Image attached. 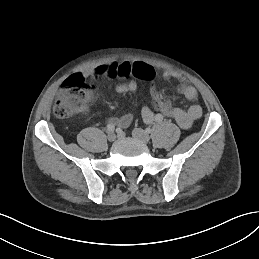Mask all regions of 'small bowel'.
Returning a JSON list of instances; mask_svg holds the SVG:
<instances>
[{
  "label": "small bowel",
  "mask_w": 259,
  "mask_h": 259,
  "mask_svg": "<svg viewBox=\"0 0 259 259\" xmlns=\"http://www.w3.org/2000/svg\"><path fill=\"white\" fill-rule=\"evenodd\" d=\"M107 76L110 78H128L133 76L137 79L149 80L153 81L156 72L155 70L148 64L144 62H110L94 70L89 71L84 75L86 80L94 81L100 76ZM163 77L165 79L177 78L179 79L178 73L175 71H165L163 73ZM137 89V83L134 80H129L125 83L119 84L116 87V90L119 93L125 92H133ZM178 91L189 101H194L197 98V91L196 89L188 85L185 82H181L178 86ZM151 95L154 101L156 108L162 112L167 117L175 120L177 124L183 128L188 129L192 126L193 122L201 117L202 115V108L199 105L193 104L187 109H181L172 105V103L165 99L160 92L152 88ZM154 113L148 107H144L142 109V117L144 121L150 122L153 118ZM112 124H115L121 128H126L130 125L132 121L131 114H123L118 117L110 118L109 120Z\"/></svg>",
  "instance_id": "small-bowel-1"
}]
</instances>
